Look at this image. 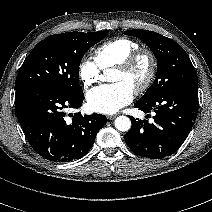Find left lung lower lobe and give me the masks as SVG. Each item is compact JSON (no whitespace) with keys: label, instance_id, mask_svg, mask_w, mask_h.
<instances>
[{"label":"left lung lower lobe","instance_id":"left-lung-lower-lobe-1","mask_svg":"<svg viewBox=\"0 0 212 212\" xmlns=\"http://www.w3.org/2000/svg\"><path fill=\"white\" fill-rule=\"evenodd\" d=\"M135 108L154 110V122L132 119L125 134L129 148L137 155L161 159L176 152L187 138L198 112V82L176 87L150 102L137 101Z\"/></svg>","mask_w":212,"mask_h":212}]
</instances>
